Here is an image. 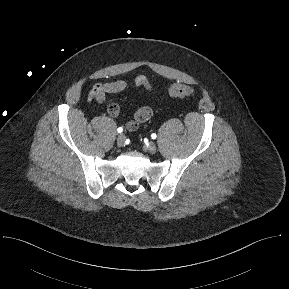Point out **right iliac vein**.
I'll return each mask as SVG.
<instances>
[{
  "mask_svg": "<svg viewBox=\"0 0 289 289\" xmlns=\"http://www.w3.org/2000/svg\"><path fill=\"white\" fill-rule=\"evenodd\" d=\"M125 140H126V137H125L124 134L118 135V137H117V145L118 146H123L125 144Z\"/></svg>",
  "mask_w": 289,
  "mask_h": 289,
  "instance_id": "obj_1",
  "label": "right iliac vein"
}]
</instances>
